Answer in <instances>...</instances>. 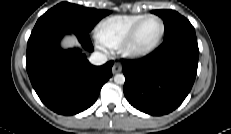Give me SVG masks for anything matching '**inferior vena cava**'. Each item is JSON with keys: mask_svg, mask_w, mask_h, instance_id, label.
Masks as SVG:
<instances>
[{"mask_svg": "<svg viewBox=\"0 0 231 134\" xmlns=\"http://www.w3.org/2000/svg\"><path fill=\"white\" fill-rule=\"evenodd\" d=\"M107 57L101 52H93L89 58V61L93 65H102L107 62Z\"/></svg>", "mask_w": 231, "mask_h": 134, "instance_id": "obj_1", "label": "inferior vena cava"}]
</instances>
